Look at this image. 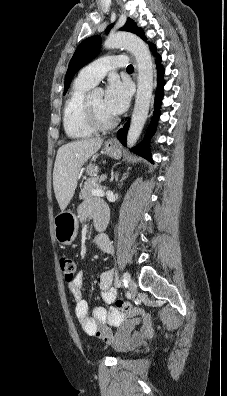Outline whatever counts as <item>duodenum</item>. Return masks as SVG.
I'll list each match as a JSON object with an SVG mask.
<instances>
[{"label": "duodenum", "instance_id": "1", "mask_svg": "<svg viewBox=\"0 0 227 396\" xmlns=\"http://www.w3.org/2000/svg\"><path fill=\"white\" fill-rule=\"evenodd\" d=\"M107 223L108 216L105 214L97 218V220L95 221V227L98 231H103L107 227Z\"/></svg>", "mask_w": 227, "mask_h": 396}]
</instances>
